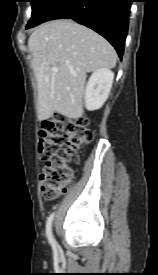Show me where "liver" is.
<instances>
[{
	"instance_id": "obj_1",
	"label": "liver",
	"mask_w": 158,
	"mask_h": 275,
	"mask_svg": "<svg viewBox=\"0 0 158 275\" xmlns=\"http://www.w3.org/2000/svg\"><path fill=\"white\" fill-rule=\"evenodd\" d=\"M28 47L38 88V119L53 113L82 117L86 73L113 68L114 48L93 30L71 20L42 24L30 35ZM57 67L58 71H52Z\"/></svg>"
}]
</instances>
